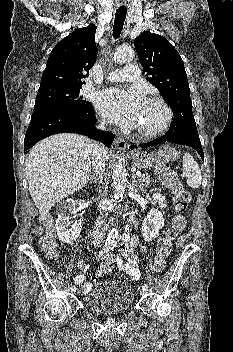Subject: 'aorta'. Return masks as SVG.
<instances>
[{
  "instance_id": "1",
  "label": "aorta",
  "mask_w": 233,
  "mask_h": 352,
  "mask_svg": "<svg viewBox=\"0 0 233 352\" xmlns=\"http://www.w3.org/2000/svg\"><path fill=\"white\" fill-rule=\"evenodd\" d=\"M114 58L117 62H129L134 58V51L129 47H120L116 50ZM127 184V171L122 162L118 161L113 166L112 173V186L114 199L116 201H121L125 192V187ZM118 237V231L116 228H112L107 241L109 243H114Z\"/></svg>"
}]
</instances>
